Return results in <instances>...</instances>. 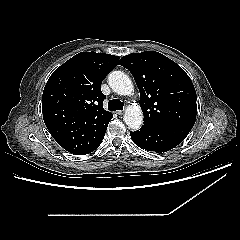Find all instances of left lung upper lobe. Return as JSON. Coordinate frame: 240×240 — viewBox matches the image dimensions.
Here are the masks:
<instances>
[{
  "mask_svg": "<svg viewBox=\"0 0 240 240\" xmlns=\"http://www.w3.org/2000/svg\"><path fill=\"white\" fill-rule=\"evenodd\" d=\"M119 64L132 73L139 88L144 125L193 127L196 91L178 64L155 51L123 56Z\"/></svg>",
  "mask_w": 240,
  "mask_h": 240,
  "instance_id": "left-lung-upper-lobe-1",
  "label": "left lung upper lobe"
}]
</instances>
